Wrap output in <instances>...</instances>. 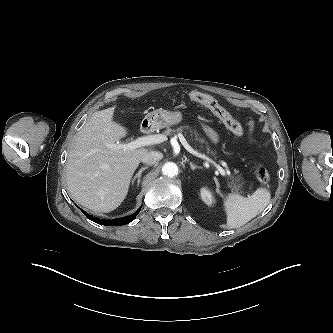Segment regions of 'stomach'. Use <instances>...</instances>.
<instances>
[{
  "instance_id": "stomach-1",
  "label": "stomach",
  "mask_w": 333,
  "mask_h": 333,
  "mask_svg": "<svg viewBox=\"0 0 333 333\" xmlns=\"http://www.w3.org/2000/svg\"><path fill=\"white\" fill-rule=\"evenodd\" d=\"M183 120V113L179 110L169 111L165 109H157L145 117L148 125L154 129H161L172 125L179 124ZM202 129L208 138L214 143L218 144L220 141L219 134L210 126L202 124Z\"/></svg>"
}]
</instances>
